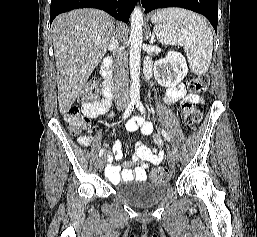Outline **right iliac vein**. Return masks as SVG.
Instances as JSON below:
<instances>
[{"mask_svg": "<svg viewBox=\"0 0 257 237\" xmlns=\"http://www.w3.org/2000/svg\"><path fill=\"white\" fill-rule=\"evenodd\" d=\"M104 163H105L104 158H103V157L99 158V160H98V162H97V166H98L99 171H102V170H103V168H104Z\"/></svg>", "mask_w": 257, "mask_h": 237, "instance_id": "right-iliac-vein-1", "label": "right iliac vein"}]
</instances>
